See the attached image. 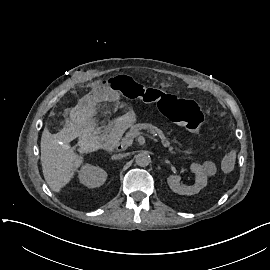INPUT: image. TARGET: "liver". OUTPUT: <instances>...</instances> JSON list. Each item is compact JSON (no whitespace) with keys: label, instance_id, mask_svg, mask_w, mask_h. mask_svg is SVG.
I'll use <instances>...</instances> for the list:
<instances>
[{"label":"liver","instance_id":"liver-1","mask_svg":"<svg viewBox=\"0 0 270 270\" xmlns=\"http://www.w3.org/2000/svg\"><path fill=\"white\" fill-rule=\"evenodd\" d=\"M88 150V145L80 143V152ZM82 161L83 158L68 145L59 144L48 129H44L41 137V163L44 178L52 191L59 192L73 177Z\"/></svg>","mask_w":270,"mask_h":270}]
</instances>
